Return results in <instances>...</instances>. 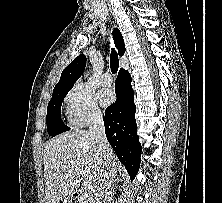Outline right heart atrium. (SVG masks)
Instances as JSON below:
<instances>
[{"label":"right heart atrium","instance_id":"1","mask_svg":"<svg viewBox=\"0 0 222 203\" xmlns=\"http://www.w3.org/2000/svg\"><path fill=\"white\" fill-rule=\"evenodd\" d=\"M65 101L70 121L76 127L85 126L102 116L94 93L84 85L74 86Z\"/></svg>","mask_w":222,"mask_h":203}]
</instances>
